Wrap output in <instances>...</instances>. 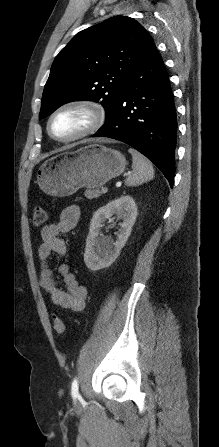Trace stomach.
Returning a JSON list of instances; mask_svg holds the SVG:
<instances>
[{"mask_svg": "<svg viewBox=\"0 0 219 447\" xmlns=\"http://www.w3.org/2000/svg\"><path fill=\"white\" fill-rule=\"evenodd\" d=\"M125 167L122 153L91 143L46 160L37 171V182L46 194L65 197L82 187L98 188L121 175Z\"/></svg>", "mask_w": 219, "mask_h": 447, "instance_id": "stomach-1", "label": "stomach"}]
</instances>
